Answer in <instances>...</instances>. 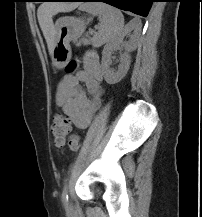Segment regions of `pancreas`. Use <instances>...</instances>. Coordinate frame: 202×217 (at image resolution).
Wrapping results in <instances>:
<instances>
[{
	"label": "pancreas",
	"mask_w": 202,
	"mask_h": 217,
	"mask_svg": "<svg viewBox=\"0 0 202 217\" xmlns=\"http://www.w3.org/2000/svg\"><path fill=\"white\" fill-rule=\"evenodd\" d=\"M81 42L84 44V45H88V44H90V41L89 40H87V39H81Z\"/></svg>",
	"instance_id": "pancreas-1"
}]
</instances>
